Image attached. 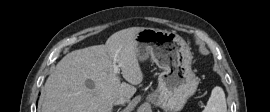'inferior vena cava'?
<instances>
[{"instance_id": "602c4592", "label": "inferior vena cava", "mask_w": 270, "mask_h": 112, "mask_svg": "<svg viewBox=\"0 0 270 112\" xmlns=\"http://www.w3.org/2000/svg\"><path fill=\"white\" fill-rule=\"evenodd\" d=\"M127 102V99L124 96H116L113 99V104L114 105H120V104H124Z\"/></svg>"}]
</instances>
